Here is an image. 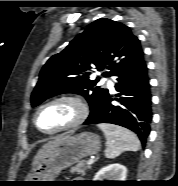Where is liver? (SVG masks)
Here are the masks:
<instances>
[{"label": "liver", "instance_id": "6515ba94", "mask_svg": "<svg viewBox=\"0 0 178 186\" xmlns=\"http://www.w3.org/2000/svg\"><path fill=\"white\" fill-rule=\"evenodd\" d=\"M65 138H66L65 135H61L43 145V147L38 151V153L34 157L32 166H35L37 163H39L47 155L49 151H51L54 147L61 143Z\"/></svg>", "mask_w": 178, "mask_h": 186}]
</instances>
